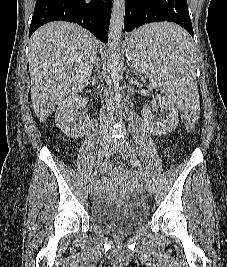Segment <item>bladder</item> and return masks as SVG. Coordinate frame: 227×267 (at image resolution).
<instances>
[{"label": "bladder", "instance_id": "1", "mask_svg": "<svg viewBox=\"0 0 227 267\" xmlns=\"http://www.w3.org/2000/svg\"><path fill=\"white\" fill-rule=\"evenodd\" d=\"M93 221L115 235H128L139 229L148 219L146 204L140 201L123 203L96 200L91 207Z\"/></svg>", "mask_w": 227, "mask_h": 267}]
</instances>
